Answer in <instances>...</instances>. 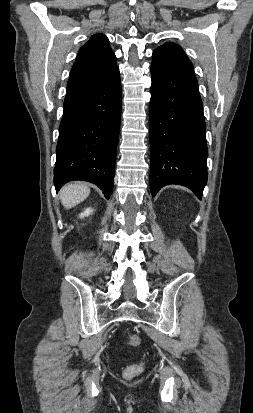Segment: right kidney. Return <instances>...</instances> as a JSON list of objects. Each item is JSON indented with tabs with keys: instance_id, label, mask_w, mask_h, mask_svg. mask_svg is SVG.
<instances>
[{
	"instance_id": "ca27d5eb",
	"label": "right kidney",
	"mask_w": 253,
	"mask_h": 413,
	"mask_svg": "<svg viewBox=\"0 0 253 413\" xmlns=\"http://www.w3.org/2000/svg\"><path fill=\"white\" fill-rule=\"evenodd\" d=\"M93 209L92 208H87L84 212H82L79 217L80 218H84L85 216H89L90 214H92Z\"/></svg>"
}]
</instances>
